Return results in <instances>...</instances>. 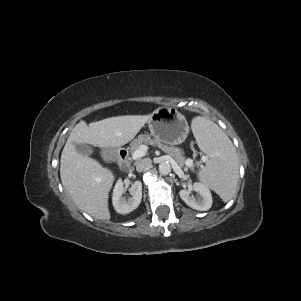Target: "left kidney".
Returning <instances> with one entry per match:
<instances>
[{
    "label": "left kidney",
    "mask_w": 301,
    "mask_h": 301,
    "mask_svg": "<svg viewBox=\"0 0 301 301\" xmlns=\"http://www.w3.org/2000/svg\"><path fill=\"white\" fill-rule=\"evenodd\" d=\"M195 191L198 196H191V192ZM180 198L191 208L199 211H207L212 206V195L208 188L203 183H194V185L186 190L182 189L179 192Z\"/></svg>",
    "instance_id": "left-kidney-1"
}]
</instances>
